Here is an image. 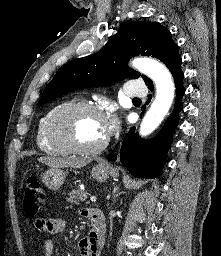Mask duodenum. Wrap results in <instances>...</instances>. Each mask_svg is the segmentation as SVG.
I'll use <instances>...</instances> for the list:
<instances>
[{"label":"duodenum","mask_w":221,"mask_h":256,"mask_svg":"<svg viewBox=\"0 0 221 256\" xmlns=\"http://www.w3.org/2000/svg\"><path fill=\"white\" fill-rule=\"evenodd\" d=\"M92 223V237L96 241L103 242L105 234V219L100 210H94L91 218Z\"/></svg>","instance_id":"duodenum-1"}]
</instances>
